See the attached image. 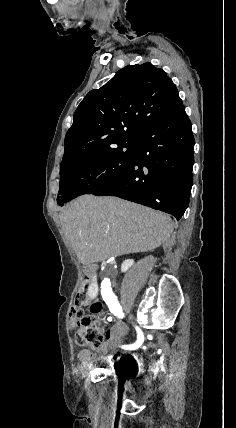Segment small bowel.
I'll use <instances>...</instances> for the list:
<instances>
[{
    "label": "small bowel",
    "instance_id": "c3829d8e",
    "mask_svg": "<svg viewBox=\"0 0 236 428\" xmlns=\"http://www.w3.org/2000/svg\"><path fill=\"white\" fill-rule=\"evenodd\" d=\"M127 333L128 327L124 323H117L105 332V344L122 340L127 335ZM112 358V355L104 354L103 347H101L95 352H91L89 350H82L79 353V359L82 368H87L98 360Z\"/></svg>",
    "mask_w": 236,
    "mask_h": 428
}]
</instances>
